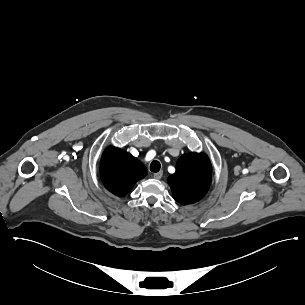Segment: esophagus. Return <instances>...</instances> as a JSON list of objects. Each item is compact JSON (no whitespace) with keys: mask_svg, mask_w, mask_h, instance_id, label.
<instances>
[{"mask_svg":"<svg viewBox=\"0 0 305 305\" xmlns=\"http://www.w3.org/2000/svg\"><path fill=\"white\" fill-rule=\"evenodd\" d=\"M162 175H163V171H159L158 173H155V174L153 175V177H154L155 179H161V178H162Z\"/></svg>","mask_w":305,"mask_h":305,"instance_id":"obj_1","label":"esophagus"}]
</instances>
